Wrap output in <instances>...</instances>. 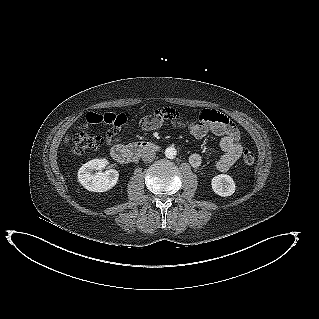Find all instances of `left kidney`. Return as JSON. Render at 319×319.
<instances>
[{
  "label": "left kidney",
  "instance_id": "left-kidney-1",
  "mask_svg": "<svg viewBox=\"0 0 319 319\" xmlns=\"http://www.w3.org/2000/svg\"><path fill=\"white\" fill-rule=\"evenodd\" d=\"M213 191L222 197L231 196L235 192V183L232 177L227 174H220L212 178Z\"/></svg>",
  "mask_w": 319,
  "mask_h": 319
}]
</instances>
